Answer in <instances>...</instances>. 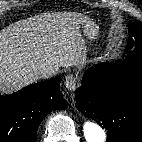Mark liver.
I'll return each mask as SVG.
<instances>
[{"instance_id": "liver-1", "label": "liver", "mask_w": 142, "mask_h": 142, "mask_svg": "<svg viewBox=\"0 0 142 142\" xmlns=\"http://www.w3.org/2000/svg\"><path fill=\"white\" fill-rule=\"evenodd\" d=\"M88 18L75 12L42 14L0 31V92L36 82L42 66H76L83 52L79 24Z\"/></svg>"}]
</instances>
